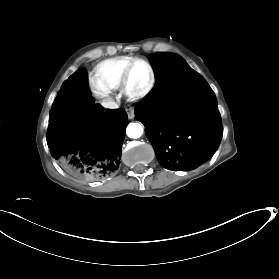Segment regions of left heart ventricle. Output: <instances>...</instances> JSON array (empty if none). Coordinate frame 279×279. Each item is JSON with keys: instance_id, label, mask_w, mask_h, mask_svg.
I'll list each match as a JSON object with an SVG mask.
<instances>
[{"instance_id": "obj_1", "label": "left heart ventricle", "mask_w": 279, "mask_h": 279, "mask_svg": "<svg viewBox=\"0 0 279 279\" xmlns=\"http://www.w3.org/2000/svg\"><path fill=\"white\" fill-rule=\"evenodd\" d=\"M150 71L142 62H136L132 65L129 75V86L133 92H141L150 82Z\"/></svg>"}]
</instances>
